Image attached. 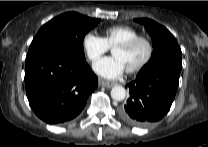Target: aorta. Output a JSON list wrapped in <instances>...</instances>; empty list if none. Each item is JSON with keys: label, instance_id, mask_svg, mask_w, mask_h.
<instances>
[{"label": "aorta", "instance_id": "1", "mask_svg": "<svg viewBox=\"0 0 208 147\" xmlns=\"http://www.w3.org/2000/svg\"><path fill=\"white\" fill-rule=\"evenodd\" d=\"M110 94H111L112 99H114L116 101H122V100H124V98L126 96V90L122 86H114L111 89Z\"/></svg>", "mask_w": 208, "mask_h": 147}]
</instances>
